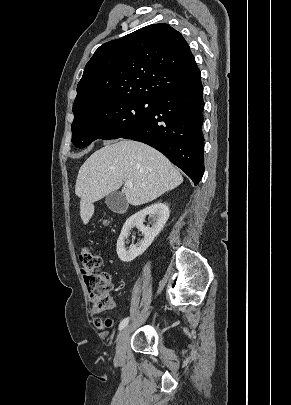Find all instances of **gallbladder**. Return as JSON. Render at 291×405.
Here are the masks:
<instances>
[{
  "label": "gallbladder",
  "mask_w": 291,
  "mask_h": 405,
  "mask_svg": "<svg viewBox=\"0 0 291 405\" xmlns=\"http://www.w3.org/2000/svg\"><path fill=\"white\" fill-rule=\"evenodd\" d=\"M105 203L108 208L115 213H122L128 207L125 196L119 192H112L107 195Z\"/></svg>",
  "instance_id": "gallbladder-1"
}]
</instances>
